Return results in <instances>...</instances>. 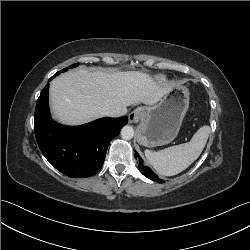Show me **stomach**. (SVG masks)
<instances>
[{
    "label": "stomach",
    "mask_w": 250,
    "mask_h": 250,
    "mask_svg": "<svg viewBox=\"0 0 250 250\" xmlns=\"http://www.w3.org/2000/svg\"><path fill=\"white\" fill-rule=\"evenodd\" d=\"M189 90L175 86L151 107H144V115L137 130V141L146 147L166 145L178 135L189 107Z\"/></svg>",
    "instance_id": "0dacf381"
}]
</instances>
